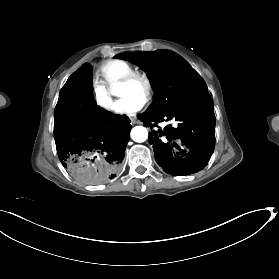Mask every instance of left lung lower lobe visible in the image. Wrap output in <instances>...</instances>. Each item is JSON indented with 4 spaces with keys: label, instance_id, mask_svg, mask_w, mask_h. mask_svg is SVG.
I'll list each match as a JSON object with an SVG mask.
<instances>
[{
    "label": "left lung lower lobe",
    "instance_id": "obj_1",
    "mask_svg": "<svg viewBox=\"0 0 279 279\" xmlns=\"http://www.w3.org/2000/svg\"><path fill=\"white\" fill-rule=\"evenodd\" d=\"M138 118L150 122L176 120L178 126L149 133L158 165L168 174L184 176L202 170L208 163L215 143V115L209 93L201 94L179 107L161 114L143 113Z\"/></svg>",
    "mask_w": 279,
    "mask_h": 279
}]
</instances>
